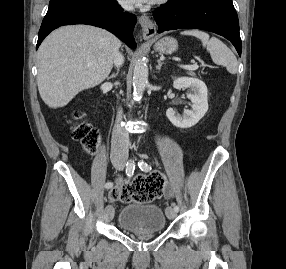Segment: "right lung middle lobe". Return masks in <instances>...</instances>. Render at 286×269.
Listing matches in <instances>:
<instances>
[{"instance_id":"obj_1","label":"right lung middle lobe","mask_w":286,"mask_h":269,"mask_svg":"<svg viewBox=\"0 0 286 269\" xmlns=\"http://www.w3.org/2000/svg\"><path fill=\"white\" fill-rule=\"evenodd\" d=\"M73 1H78V0H50L48 9H52V8H55V7H58V6H61V5H64V4L73 2ZM89 1L94 2L105 8L112 7L116 2V0H89Z\"/></svg>"}]
</instances>
